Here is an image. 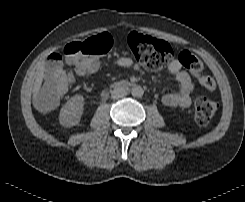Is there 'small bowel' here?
<instances>
[{
    "label": "small bowel",
    "instance_id": "1",
    "mask_svg": "<svg viewBox=\"0 0 245 202\" xmlns=\"http://www.w3.org/2000/svg\"><path fill=\"white\" fill-rule=\"evenodd\" d=\"M113 64L122 68L138 69V66L129 57H117L113 60ZM98 67L95 64H91L86 70L81 72L82 74H92L97 71ZM168 71L175 76V82L178 86V91L167 93L162 98V103L166 107H188L191 104L192 94L194 91V84L190 74L183 69L179 60H173L168 67ZM38 111L47 115L51 112L52 107H49L48 103L42 98L38 102Z\"/></svg>",
    "mask_w": 245,
    "mask_h": 202
}]
</instances>
